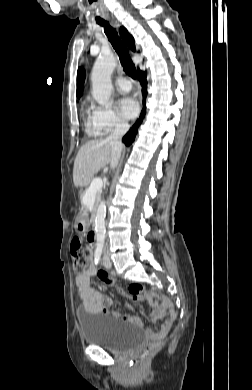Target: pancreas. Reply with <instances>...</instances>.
I'll use <instances>...</instances> for the list:
<instances>
[{"instance_id":"1","label":"pancreas","mask_w":252,"mask_h":390,"mask_svg":"<svg viewBox=\"0 0 252 390\" xmlns=\"http://www.w3.org/2000/svg\"><path fill=\"white\" fill-rule=\"evenodd\" d=\"M84 197H85V194H83V196H82V201L79 202V205H80V206H83V205L85 206V204H84V202H83ZM95 198H96V202H98V200H99V198H100L99 192L96 194V197H95Z\"/></svg>"}]
</instances>
